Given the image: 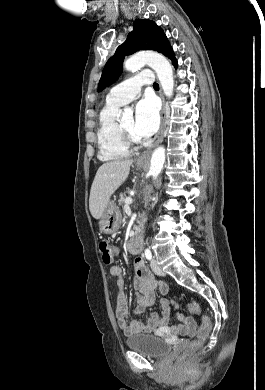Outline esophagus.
Returning <instances> with one entry per match:
<instances>
[{"instance_id":"esophagus-1","label":"esophagus","mask_w":265,"mask_h":390,"mask_svg":"<svg viewBox=\"0 0 265 390\" xmlns=\"http://www.w3.org/2000/svg\"><path fill=\"white\" fill-rule=\"evenodd\" d=\"M160 96H161V99H162V112H161L162 123H161L159 136H158L156 142L154 143V145L151 148L147 149L145 152H143V154L141 156L138 157L137 162H147V161H149L151 153H152V150L156 146H158L162 142V140H163V134H164L165 126H166V118H165V98H164V95H163V92H162L161 88H160Z\"/></svg>"}]
</instances>
